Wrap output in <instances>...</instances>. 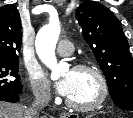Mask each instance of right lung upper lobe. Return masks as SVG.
Here are the masks:
<instances>
[{
  "label": "right lung upper lobe",
  "mask_w": 133,
  "mask_h": 118,
  "mask_svg": "<svg viewBox=\"0 0 133 118\" xmlns=\"http://www.w3.org/2000/svg\"><path fill=\"white\" fill-rule=\"evenodd\" d=\"M21 48V21L15 6L0 7V60L18 61Z\"/></svg>",
  "instance_id": "obj_1"
}]
</instances>
